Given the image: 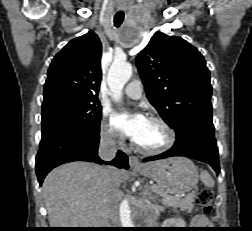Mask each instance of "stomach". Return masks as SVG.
<instances>
[{
  "mask_svg": "<svg viewBox=\"0 0 252 231\" xmlns=\"http://www.w3.org/2000/svg\"><path fill=\"white\" fill-rule=\"evenodd\" d=\"M141 175L156 181L163 194H184L198 183V172L192 161L173 157L144 164L136 169Z\"/></svg>",
  "mask_w": 252,
  "mask_h": 231,
  "instance_id": "1",
  "label": "stomach"
}]
</instances>
